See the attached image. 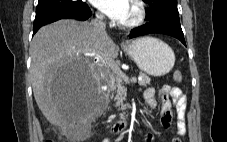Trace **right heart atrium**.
Wrapping results in <instances>:
<instances>
[{"label":"right heart atrium","mask_w":227,"mask_h":142,"mask_svg":"<svg viewBox=\"0 0 227 142\" xmlns=\"http://www.w3.org/2000/svg\"><path fill=\"white\" fill-rule=\"evenodd\" d=\"M96 17H97L98 19H100V20L102 19V15L99 14V13L96 14Z\"/></svg>","instance_id":"1"}]
</instances>
